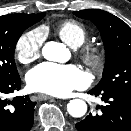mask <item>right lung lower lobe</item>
Returning <instances> with one entry per match:
<instances>
[{
  "instance_id": "98d812e1",
  "label": "right lung lower lobe",
  "mask_w": 131,
  "mask_h": 131,
  "mask_svg": "<svg viewBox=\"0 0 131 131\" xmlns=\"http://www.w3.org/2000/svg\"><path fill=\"white\" fill-rule=\"evenodd\" d=\"M19 75L0 78V131H29L33 125L34 106L29 96H17L13 100L5 98L6 94L20 89Z\"/></svg>"
}]
</instances>
